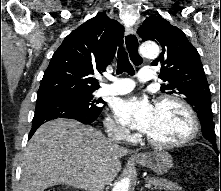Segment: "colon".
<instances>
[{
  "label": "colon",
  "mask_w": 221,
  "mask_h": 191,
  "mask_svg": "<svg viewBox=\"0 0 221 191\" xmlns=\"http://www.w3.org/2000/svg\"><path fill=\"white\" fill-rule=\"evenodd\" d=\"M49 191H54V190H49ZM208 191H214V190H208Z\"/></svg>",
  "instance_id": "1"
}]
</instances>
